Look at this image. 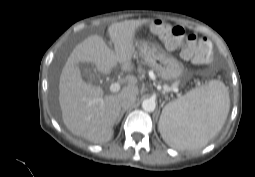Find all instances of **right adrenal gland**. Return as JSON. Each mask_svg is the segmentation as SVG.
Masks as SVG:
<instances>
[{
  "label": "right adrenal gland",
  "mask_w": 255,
  "mask_h": 177,
  "mask_svg": "<svg viewBox=\"0 0 255 177\" xmlns=\"http://www.w3.org/2000/svg\"><path fill=\"white\" fill-rule=\"evenodd\" d=\"M125 112H126V110L121 111L120 116L118 117L116 124H118L121 121V119H122Z\"/></svg>",
  "instance_id": "1"
}]
</instances>
